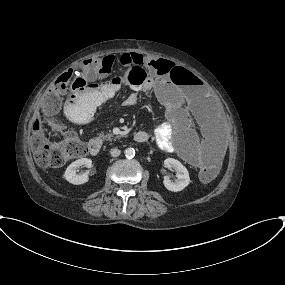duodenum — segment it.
<instances>
[{
	"label": "duodenum",
	"mask_w": 285,
	"mask_h": 285,
	"mask_svg": "<svg viewBox=\"0 0 285 285\" xmlns=\"http://www.w3.org/2000/svg\"><path fill=\"white\" fill-rule=\"evenodd\" d=\"M75 106L77 108H82L81 104L76 103ZM134 140L136 142H146L148 140V134L144 131H139L137 133H135L134 135ZM101 151V144L98 140L96 139H91L88 143V152L90 155L92 156H96L99 154V152Z\"/></svg>",
	"instance_id": "410a0bca"
}]
</instances>
